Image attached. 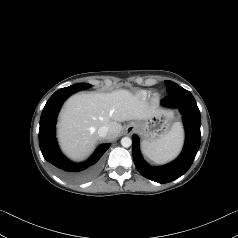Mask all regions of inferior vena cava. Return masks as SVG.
<instances>
[{"mask_svg":"<svg viewBox=\"0 0 238 238\" xmlns=\"http://www.w3.org/2000/svg\"><path fill=\"white\" fill-rule=\"evenodd\" d=\"M108 127L107 126H102L98 129L97 133L99 135V137L101 138H105L108 135Z\"/></svg>","mask_w":238,"mask_h":238,"instance_id":"1","label":"inferior vena cava"}]
</instances>
